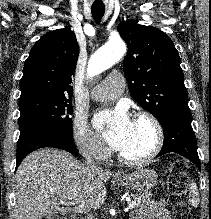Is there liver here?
<instances>
[{
  "mask_svg": "<svg viewBox=\"0 0 211 219\" xmlns=\"http://www.w3.org/2000/svg\"><path fill=\"white\" fill-rule=\"evenodd\" d=\"M111 176V171L80 164L61 150L35 151L22 161L14 177V219L99 209L106 199L104 182Z\"/></svg>",
  "mask_w": 211,
  "mask_h": 219,
  "instance_id": "6515ba94",
  "label": "liver"
}]
</instances>
